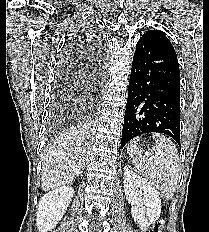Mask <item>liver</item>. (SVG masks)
<instances>
[{
  "label": "liver",
  "instance_id": "obj_1",
  "mask_svg": "<svg viewBox=\"0 0 209 232\" xmlns=\"http://www.w3.org/2000/svg\"><path fill=\"white\" fill-rule=\"evenodd\" d=\"M91 137L86 127H75L61 133L42 160L43 191L69 184L86 167Z\"/></svg>",
  "mask_w": 209,
  "mask_h": 232
}]
</instances>
